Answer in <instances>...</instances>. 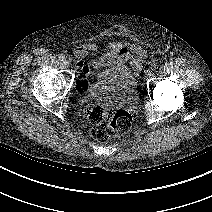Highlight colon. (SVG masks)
<instances>
[{
	"instance_id": "1",
	"label": "colon",
	"mask_w": 212,
	"mask_h": 212,
	"mask_svg": "<svg viewBox=\"0 0 212 212\" xmlns=\"http://www.w3.org/2000/svg\"><path fill=\"white\" fill-rule=\"evenodd\" d=\"M78 70L83 75L88 73V68L83 63L78 65ZM86 87V80L78 81V90H84ZM84 114L91 123L89 134L97 141H107L110 138L123 135L132 124L130 113L118 108H107L100 105L86 106Z\"/></svg>"
}]
</instances>
